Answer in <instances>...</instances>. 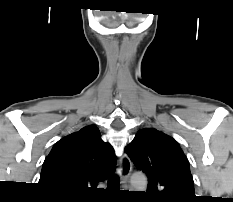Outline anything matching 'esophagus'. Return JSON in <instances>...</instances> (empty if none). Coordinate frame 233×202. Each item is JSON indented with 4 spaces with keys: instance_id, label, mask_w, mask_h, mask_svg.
Returning a JSON list of instances; mask_svg holds the SVG:
<instances>
[{
    "instance_id": "esophagus-1",
    "label": "esophagus",
    "mask_w": 233,
    "mask_h": 202,
    "mask_svg": "<svg viewBox=\"0 0 233 202\" xmlns=\"http://www.w3.org/2000/svg\"><path fill=\"white\" fill-rule=\"evenodd\" d=\"M132 171V162L130 158L127 155H123L120 158V177H121V183L127 187V183L130 177Z\"/></svg>"
}]
</instances>
